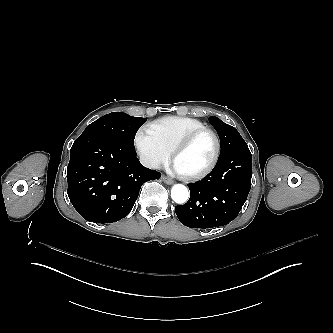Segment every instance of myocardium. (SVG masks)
Wrapping results in <instances>:
<instances>
[{
    "instance_id": "f54148a6",
    "label": "myocardium",
    "mask_w": 333,
    "mask_h": 333,
    "mask_svg": "<svg viewBox=\"0 0 333 333\" xmlns=\"http://www.w3.org/2000/svg\"><path fill=\"white\" fill-rule=\"evenodd\" d=\"M203 133H209L215 142V152L214 155L211 159V161L201 170L193 173V174H189V175H183L182 178L184 180L187 181H195L198 179H201L203 177H205L206 175H208L217 165L219 158H220V154H221V142L220 139L218 137V135L216 134V132L210 128L204 127V128H199V129H195L189 133H187L185 136H183L171 149L170 154H169V162H171V160L173 159V157L175 155H177L178 153H180L181 151H183L185 148H187L194 140L195 138H197L199 135L203 134Z\"/></svg>"
}]
</instances>
